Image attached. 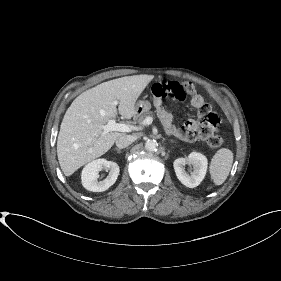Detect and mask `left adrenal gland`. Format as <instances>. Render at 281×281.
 I'll return each mask as SVG.
<instances>
[{
    "mask_svg": "<svg viewBox=\"0 0 281 281\" xmlns=\"http://www.w3.org/2000/svg\"><path fill=\"white\" fill-rule=\"evenodd\" d=\"M175 141L174 140H171V143H174Z\"/></svg>",
    "mask_w": 281,
    "mask_h": 281,
    "instance_id": "a2214340",
    "label": "left adrenal gland"
}]
</instances>
